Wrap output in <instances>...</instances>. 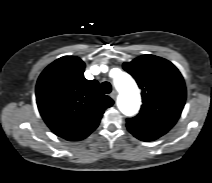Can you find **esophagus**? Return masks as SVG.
Returning <instances> with one entry per match:
<instances>
[{"instance_id": "obj_1", "label": "esophagus", "mask_w": 212, "mask_h": 183, "mask_svg": "<svg viewBox=\"0 0 212 183\" xmlns=\"http://www.w3.org/2000/svg\"><path fill=\"white\" fill-rule=\"evenodd\" d=\"M110 97L113 99V100H116L117 98V91H113L111 94H110Z\"/></svg>"}]
</instances>
